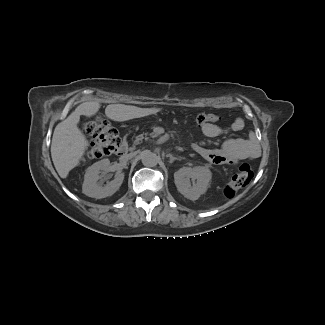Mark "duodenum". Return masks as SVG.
<instances>
[{"mask_svg":"<svg viewBox=\"0 0 325 325\" xmlns=\"http://www.w3.org/2000/svg\"><path fill=\"white\" fill-rule=\"evenodd\" d=\"M127 149H128V145H127V142L122 140L119 145H118V148H117V154L120 156V157H125L126 156V152H127Z\"/></svg>","mask_w":325,"mask_h":325,"instance_id":"410a0bca","label":"duodenum"}]
</instances>
